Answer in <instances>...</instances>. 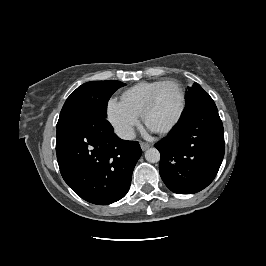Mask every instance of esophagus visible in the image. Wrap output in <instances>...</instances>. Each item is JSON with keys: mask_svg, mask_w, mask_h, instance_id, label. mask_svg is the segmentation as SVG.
I'll return each mask as SVG.
<instances>
[{"mask_svg": "<svg viewBox=\"0 0 266 266\" xmlns=\"http://www.w3.org/2000/svg\"><path fill=\"white\" fill-rule=\"evenodd\" d=\"M140 147L143 151H146L150 147V144L146 142H140Z\"/></svg>", "mask_w": 266, "mask_h": 266, "instance_id": "34e87169", "label": "esophagus"}]
</instances>
